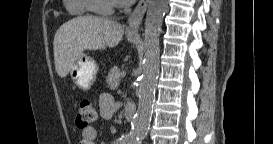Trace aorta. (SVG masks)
<instances>
[{
	"label": "aorta",
	"mask_w": 273,
	"mask_h": 144,
	"mask_svg": "<svg viewBox=\"0 0 273 144\" xmlns=\"http://www.w3.org/2000/svg\"><path fill=\"white\" fill-rule=\"evenodd\" d=\"M167 8L168 0H150L144 30L145 52L139 83V103L131 131L123 137L122 144H141L150 126L159 73V36Z\"/></svg>",
	"instance_id": "762f6f07"
}]
</instances>
